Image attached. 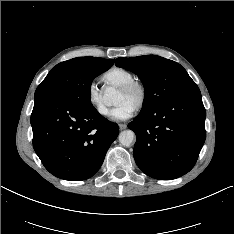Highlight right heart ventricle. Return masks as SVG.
<instances>
[{
	"mask_svg": "<svg viewBox=\"0 0 234 234\" xmlns=\"http://www.w3.org/2000/svg\"><path fill=\"white\" fill-rule=\"evenodd\" d=\"M102 79L107 84L120 87L130 80H133L134 75L124 68L113 67L103 74Z\"/></svg>",
	"mask_w": 234,
	"mask_h": 234,
	"instance_id": "1",
	"label": "right heart ventricle"
}]
</instances>
